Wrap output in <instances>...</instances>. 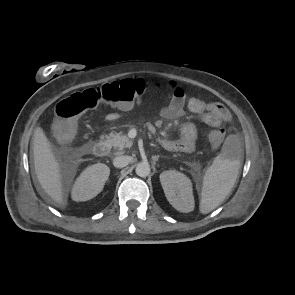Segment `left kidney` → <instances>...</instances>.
I'll return each instance as SVG.
<instances>
[{
    "mask_svg": "<svg viewBox=\"0 0 295 295\" xmlns=\"http://www.w3.org/2000/svg\"><path fill=\"white\" fill-rule=\"evenodd\" d=\"M160 182L168 202L178 211L188 213L194 209V197L190 179L176 170L160 174Z\"/></svg>",
    "mask_w": 295,
    "mask_h": 295,
    "instance_id": "5707ae66",
    "label": "left kidney"
}]
</instances>
